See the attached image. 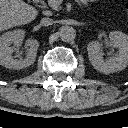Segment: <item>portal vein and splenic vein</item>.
I'll return each mask as SVG.
<instances>
[{
    "instance_id": "18ae733b",
    "label": "portal vein and splenic vein",
    "mask_w": 128,
    "mask_h": 128,
    "mask_svg": "<svg viewBox=\"0 0 128 128\" xmlns=\"http://www.w3.org/2000/svg\"><path fill=\"white\" fill-rule=\"evenodd\" d=\"M63 0H59L58 3L61 4Z\"/></svg>"
}]
</instances>
